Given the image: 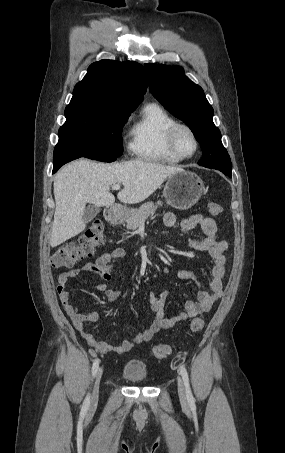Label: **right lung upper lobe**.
I'll return each instance as SVG.
<instances>
[{
    "mask_svg": "<svg viewBox=\"0 0 285 453\" xmlns=\"http://www.w3.org/2000/svg\"><path fill=\"white\" fill-rule=\"evenodd\" d=\"M148 82L142 65L100 60L91 64L76 84L69 105L102 106L134 111L142 102Z\"/></svg>",
    "mask_w": 285,
    "mask_h": 453,
    "instance_id": "1",
    "label": "right lung upper lobe"
}]
</instances>
